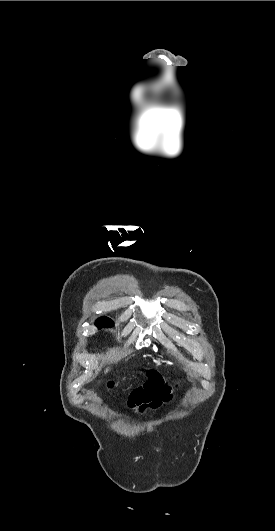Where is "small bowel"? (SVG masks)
Listing matches in <instances>:
<instances>
[{
  "label": "small bowel",
  "instance_id": "1",
  "mask_svg": "<svg viewBox=\"0 0 275 531\" xmlns=\"http://www.w3.org/2000/svg\"><path fill=\"white\" fill-rule=\"evenodd\" d=\"M142 370L145 372L146 376L152 377V381L145 384L143 387L136 390L131 399V407L136 411L143 413L148 409H155L159 407L162 402L172 401L176 392L180 391V386L175 383H161L159 381V376L162 374L160 369L149 368L147 365L142 367ZM172 380V377L168 378ZM177 380L180 378L177 377ZM185 380L188 378L185 377ZM113 381L112 379L110 380ZM108 390L113 388L111 383L106 385Z\"/></svg>",
  "mask_w": 275,
  "mask_h": 531
}]
</instances>
